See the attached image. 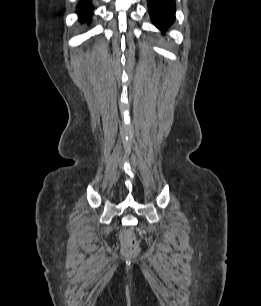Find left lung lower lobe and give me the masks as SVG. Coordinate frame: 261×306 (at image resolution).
I'll return each instance as SVG.
<instances>
[{
	"label": "left lung lower lobe",
	"mask_w": 261,
	"mask_h": 306,
	"mask_svg": "<svg viewBox=\"0 0 261 306\" xmlns=\"http://www.w3.org/2000/svg\"><path fill=\"white\" fill-rule=\"evenodd\" d=\"M148 10L154 24L166 30L175 18V0H148Z\"/></svg>",
	"instance_id": "left-lung-lower-lobe-1"
}]
</instances>
